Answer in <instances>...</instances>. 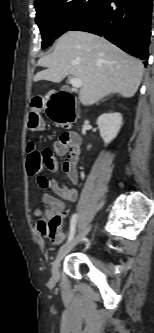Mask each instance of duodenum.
Wrapping results in <instances>:
<instances>
[{
	"label": "duodenum",
	"mask_w": 154,
	"mask_h": 333,
	"mask_svg": "<svg viewBox=\"0 0 154 333\" xmlns=\"http://www.w3.org/2000/svg\"><path fill=\"white\" fill-rule=\"evenodd\" d=\"M56 104L53 112L62 119L74 121L77 118L76 110L74 107V97L67 92H60L55 94Z\"/></svg>",
	"instance_id": "duodenum-1"
}]
</instances>
